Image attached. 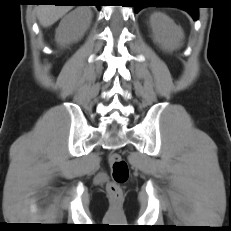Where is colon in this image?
<instances>
[{
	"instance_id": "colon-1",
	"label": "colon",
	"mask_w": 231,
	"mask_h": 231,
	"mask_svg": "<svg viewBox=\"0 0 231 231\" xmlns=\"http://www.w3.org/2000/svg\"><path fill=\"white\" fill-rule=\"evenodd\" d=\"M108 163L111 169L112 182L107 191L113 199H119L122 195L121 185L129 178V167L127 162L117 153L108 155Z\"/></svg>"
}]
</instances>
